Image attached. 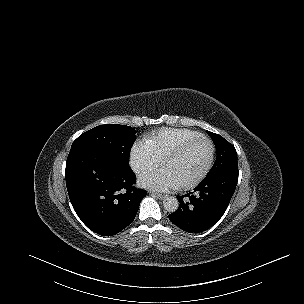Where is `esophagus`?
<instances>
[{"instance_id": "esophagus-1", "label": "esophagus", "mask_w": 304, "mask_h": 304, "mask_svg": "<svg viewBox=\"0 0 304 304\" xmlns=\"http://www.w3.org/2000/svg\"><path fill=\"white\" fill-rule=\"evenodd\" d=\"M152 195L155 196L156 198H158L159 200H163L167 197V195L154 193V192H152Z\"/></svg>"}]
</instances>
